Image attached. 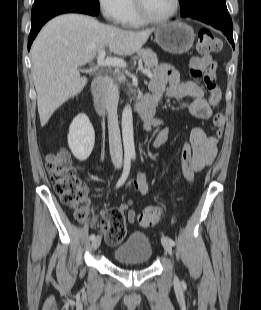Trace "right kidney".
Returning a JSON list of instances; mask_svg holds the SVG:
<instances>
[{"mask_svg": "<svg viewBox=\"0 0 261 310\" xmlns=\"http://www.w3.org/2000/svg\"><path fill=\"white\" fill-rule=\"evenodd\" d=\"M95 144V132L86 114H78L72 121L68 145L76 159L85 161L91 154Z\"/></svg>", "mask_w": 261, "mask_h": 310, "instance_id": "ca27d5eb", "label": "right kidney"}]
</instances>
